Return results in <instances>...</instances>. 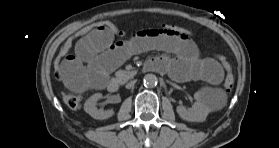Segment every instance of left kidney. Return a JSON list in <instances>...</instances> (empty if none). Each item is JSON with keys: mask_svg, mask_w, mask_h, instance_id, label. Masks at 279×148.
Segmentation results:
<instances>
[{"mask_svg": "<svg viewBox=\"0 0 279 148\" xmlns=\"http://www.w3.org/2000/svg\"><path fill=\"white\" fill-rule=\"evenodd\" d=\"M194 98L196 102L193 104L192 108L186 109L184 106H177V113L186 121L203 122L212 109L200 91L194 94Z\"/></svg>", "mask_w": 279, "mask_h": 148, "instance_id": "left-kidney-1", "label": "left kidney"}]
</instances>
